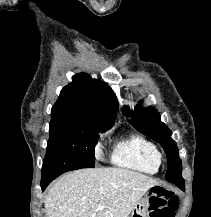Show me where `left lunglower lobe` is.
I'll list each match as a JSON object with an SVG mask.
<instances>
[{"label":"left lung lower lobe","instance_id":"1","mask_svg":"<svg viewBox=\"0 0 211 217\" xmlns=\"http://www.w3.org/2000/svg\"><path fill=\"white\" fill-rule=\"evenodd\" d=\"M181 190L185 191V186L184 185H179L178 186Z\"/></svg>","mask_w":211,"mask_h":217}]
</instances>
